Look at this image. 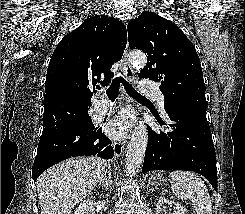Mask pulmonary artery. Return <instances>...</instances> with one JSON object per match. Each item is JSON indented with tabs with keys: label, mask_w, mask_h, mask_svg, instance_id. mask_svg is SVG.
<instances>
[{
	"label": "pulmonary artery",
	"mask_w": 245,
	"mask_h": 214,
	"mask_svg": "<svg viewBox=\"0 0 245 214\" xmlns=\"http://www.w3.org/2000/svg\"><path fill=\"white\" fill-rule=\"evenodd\" d=\"M139 90L144 96L153 98L157 102V105L159 106L162 113L164 115L166 114L164 110V96L153 82L149 80L140 81ZM110 106L111 103L107 99L98 101L95 104V115H103L109 110Z\"/></svg>",
	"instance_id": "pulmonary-artery-1"
}]
</instances>
